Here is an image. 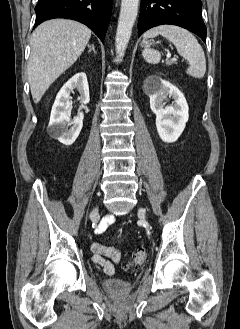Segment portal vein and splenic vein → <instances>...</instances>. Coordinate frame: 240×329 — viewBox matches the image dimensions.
Returning <instances> with one entry per match:
<instances>
[{"label": "portal vein and splenic vein", "mask_w": 240, "mask_h": 329, "mask_svg": "<svg viewBox=\"0 0 240 329\" xmlns=\"http://www.w3.org/2000/svg\"><path fill=\"white\" fill-rule=\"evenodd\" d=\"M170 58H171V54L168 53V54H167V59H170ZM171 60H172V61H176V58H172Z\"/></svg>", "instance_id": "portal-vein-and-splenic-vein-1"}]
</instances>
